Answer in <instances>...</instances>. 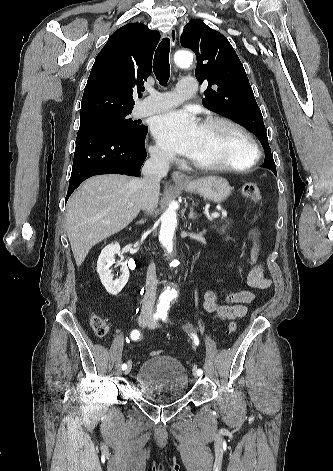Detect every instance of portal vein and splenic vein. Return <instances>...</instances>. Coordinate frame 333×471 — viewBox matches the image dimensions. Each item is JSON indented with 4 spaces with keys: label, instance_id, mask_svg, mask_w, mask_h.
Segmentation results:
<instances>
[{
    "label": "portal vein and splenic vein",
    "instance_id": "portal-vein-and-splenic-vein-1",
    "mask_svg": "<svg viewBox=\"0 0 333 471\" xmlns=\"http://www.w3.org/2000/svg\"><path fill=\"white\" fill-rule=\"evenodd\" d=\"M220 216V213L214 212L211 215L208 216L209 220H213L215 218H218Z\"/></svg>",
    "mask_w": 333,
    "mask_h": 471
}]
</instances>
